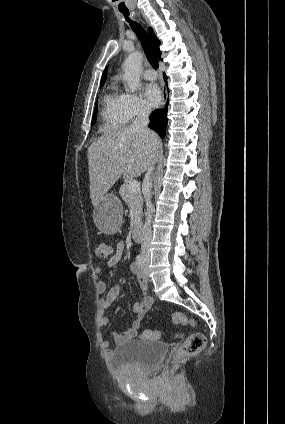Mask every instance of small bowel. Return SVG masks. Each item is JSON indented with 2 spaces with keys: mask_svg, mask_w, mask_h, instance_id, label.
I'll return each mask as SVG.
<instances>
[{
  "mask_svg": "<svg viewBox=\"0 0 285 424\" xmlns=\"http://www.w3.org/2000/svg\"><path fill=\"white\" fill-rule=\"evenodd\" d=\"M125 245L124 242L119 241L115 246L114 253L109 257L107 266L109 268L115 267L121 261L124 254ZM101 267L97 266L94 269L95 274H101ZM131 272L136 276L139 286L142 291V299L134 304L133 310L136 313V319L133 321L131 327L125 332H114L113 341L116 346L135 338L141 328L142 321L146 312L152 306L153 300L148 295V280L141 272L140 266L137 263L132 264ZM123 287L120 284L112 285L108 290L104 281H98L96 284V292L99 295L98 308L100 310V327H106L110 323L109 317L106 315L105 310L115 303L120 294L123 292ZM102 350L106 356H109L112 352L111 342L108 339L102 340Z\"/></svg>",
  "mask_w": 285,
  "mask_h": 424,
  "instance_id": "c3829d8e",
  "label": "small bowel"
}]
</instances>
